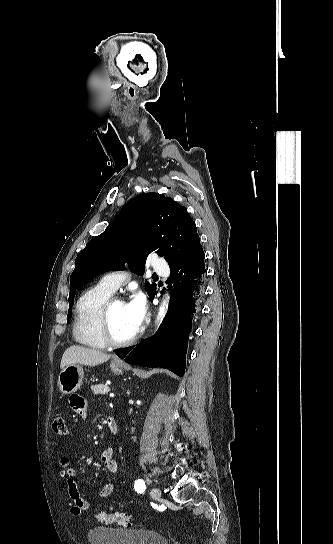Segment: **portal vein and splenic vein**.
Masks as SVG:
<instances>
[{"label": "portal vein and splenic vein", "instance_id": "18ae733b", "mask_svg": "<svg viewBox=\"0 0 333 544\" xmlns=\"http://www.w3.org/2000/svg\"><path fill=\"white\" fill-rule=\"evenodd\" d=\"M114 396H115L114 393H110V394H109V397H110V398H113Z\"/></svg>", "mask_w": 333, "mask_h": 544}]
</instances>
